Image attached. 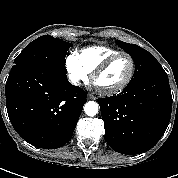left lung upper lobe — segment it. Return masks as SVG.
<instances>
[{"instance_id":"left-lung-upper-lobe-1","label":"left lung upper lobe","mask_w":178,"mask_h":178,"mask_svg":"<svg viewBox=\"0 0 178 178\" xmlns=\"http://www.w3.org/2000/svg\"><path fill=\"white\" fill-rule=\"evenodd\" d=\"M116 42L119 47L132 57L135 63V72L129 83H134L152 76L166 75L161 64L147 50L135 44L126 43L120 40H116Z\"/></svg>"}]
</instances>
